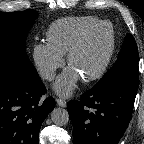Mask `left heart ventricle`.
<instances>
[{
  "label": "left heart ventricle",
  "instance_id": "obj_1",
  "mask_svg": "<svg viewBox=\"0 0 144 144\" xmlns=\"http://www.w3.org/2000/svg\"><path fill=\"white\" fill-rule=\"evenodd\" d=\"M110 27L102 26L93 32L75 54L71 67L79 77L94 72L102 63L109 47Z\"/></svg>",
  "mask_w": 144,
  "mask_h": 144
}]
</instances>
